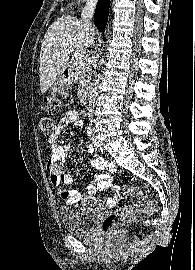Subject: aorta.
Segmentation results:
<instances>
[{"label":"aorta","mask_w":195,"mask_h":270,"mask_svg":"<svg viewBox=\"0 0 195 270\" xmlns=\"http://www.w3.org/2000/svg\"><path fill=\"white\" fill-rule=\"evenodd\" d=\"M101 63H103V58L100 60V65H101Z\"/></svg>","instance_id":"obj_1"}]
</instances>
